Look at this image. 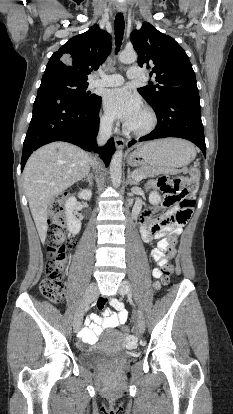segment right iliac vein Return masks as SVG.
I'll return each instance as SVG.
<instances>
[{"label": "right iliac vein", "mask_w": 233, "mask_h": 414, "mask_svg": "<svg viewBox=\"0 0 233 414\" xmlns=\"http://www.w3.org/2000/svg\"><path fill=\"white\" fill-rule=\"evenodd\" d=\"M97 294H98L97 285L95 283H91L86 289V292L83 298V303L74 317L73 327H74L75 332H77L82 325L83 315H84L87 305L95 300V298L97 297Z\"/></svg>", "instance_id": "1"}]
</instances>
